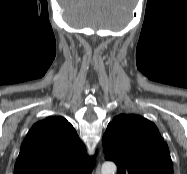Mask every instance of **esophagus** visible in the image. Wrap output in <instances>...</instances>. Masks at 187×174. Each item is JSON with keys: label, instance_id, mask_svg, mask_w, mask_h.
Wrapping results in <instances>:
<instances>
[{"label": "esophagus", "instance_id": "esophagus-1", "mask_svg": "<svg viewBox=\"0 0 187 174\" xmlns=\"http://www.w3.org/2000/svg\"><path fill=\"white\" fill-rule=\"evenodd\" d=\"M95 174H100V163L98 164L96 168Z\"/></svg>", "mask_w": 187, "mask_h": 174}]
</instances>
